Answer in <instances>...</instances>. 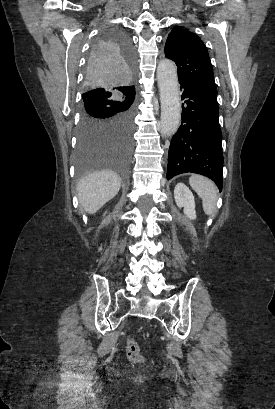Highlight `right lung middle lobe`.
<instances>
[{"label": "right lung middle lobe", "mask_w": 275, "mask_h": 409, "mask_svg": "<svg viewBox=\"0 0 275 409\" xmlns=\"http://www.w3.org/2000/svg\"><path fill=\"white\" fill-rule=\"evenodd\" d=\"M118 30L117 24H110L94 40L89 53L74 153L76 182L93 167L95 173L108 169L127 181L126 165L134 147L135 95L113 91L131 85L136 53L132 42Z\"/></svg>", "instance_id": "1"}]
</instances>
